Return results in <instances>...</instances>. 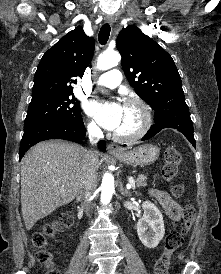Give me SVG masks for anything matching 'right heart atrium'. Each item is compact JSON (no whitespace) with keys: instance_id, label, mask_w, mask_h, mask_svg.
Returning <instances> with one entry per match:
<instances>
[{"instance_id":"d8ad5b80","label":"right heart atrium","mask_w":221,"mask_h":274,"mask_svg":"<svg viewBox=\"0 0 221 274\" xmlns=\"http://www.w3.org/2000/svg\"><path fill=\"white\" fill-rule=\"evenodd\" d=\"M87 130L92 135H98L101 132L99 126L94 121L88 123Z\"/></svg>"}]
</instances>
